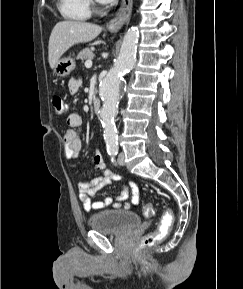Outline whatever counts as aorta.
Returning <instances> with one entry per match:
<instances>
[{"mask_svg":"<svg viewBox=\"0 0 243 289\" xmlns=\"http://www.w3.org/2000/svg\"><path fill=\"white\" fill-rule=\"evenodd\" d=\"M138 39L139 32L136 28L132 27L126 32L119 56L99 86V94L103 102L100 110V120L104 128L107 151L110 153L118 151L115 117L118 114L122 77L135 64Z\"/></svg>","mask_w":243,"mask_h":289,"instance_id":"1","label":"aorta"}]
</instances>
